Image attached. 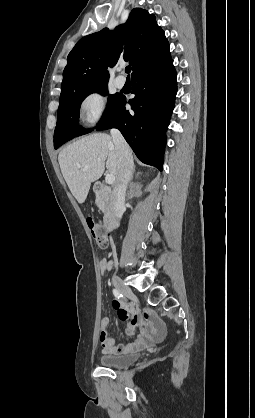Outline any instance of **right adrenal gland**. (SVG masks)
I'll list each match as a JSON object with an SVG mask.
<instances>
[{
  "label": "right adrenal gland",
  "mask_w": 255,
  "mask_h": 418,
  "mask_svg": "<svg viewBox=\"0 0 255 418\" xmlns=\"http://www.w3.org/2000/svg\"><path fill=\"white\" fill-rule=\"evenodd\" d=\"M133 172H134V170H133ZM139 175H140V173H137V174H136V178H137ZM132 179H133V176H132V177H131V179H130V184H132V182H131V181H132Z\"/></svg>",
  "instance_id": "obj_1"
}]
</instances>
